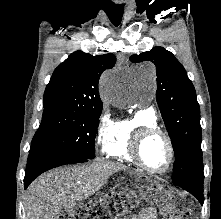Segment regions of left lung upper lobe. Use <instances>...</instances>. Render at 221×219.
Returning a JSON list of instances; mask_svg holds the SVG:
<instances>
[{
    "mask_svg": "<svg viewBox=\"0 0 221 219\" xmlns=\"http://www.w3.org/2000/svg\"><path fill=\"white\" fill-rule=\"evenodd\" d=\"M130 61H151L156 66V100L175 153L173 182H203L200 108L185 69L160 46L132 55Z\"/></svg>",
    "mask_w": 221,
    "mask_h": 219,
    "instance_id": "left-lung-upper-lobe-1",
    "label": "left lung upper lobe"
}]
</instances>
